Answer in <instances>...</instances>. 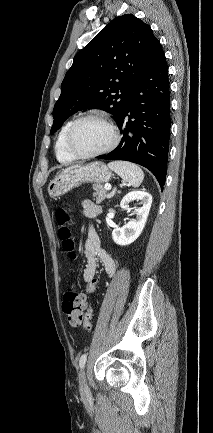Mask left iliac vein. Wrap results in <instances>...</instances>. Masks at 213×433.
<instances>
[{
    "label": "left iliac vein",
    "instance_id": "left-iliac-vein-1",
    "mask_svg": "<svg viewBox=\"0 0 213 433\" xmlns=\"http://www.w3.org/2000/svg\"><path fill=\"white\" fill-rule=\"evenodd\" d=\"M79 384L82 397H88L90 395V389L88 387L84 371H81L79 374Z\"/></svg>",
    "mask_w": 213,
    "mask_h": 433
}]
</instances>
